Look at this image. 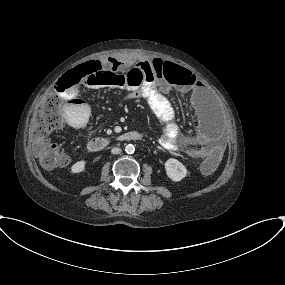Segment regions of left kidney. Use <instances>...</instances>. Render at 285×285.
<instances>
[{"mask_svg":"<svg viewBox=\"0 0 285 285\" xmlns=\"http://www.w3.org/2000/svg\"><path fill=\"white\" fill-rule=\"evenodd\" d=\"M165 170L168 178L174 182L182 180L187 175L185 166L174 158H170L165 162Z\"/></svg>","mask_w":285,"mask_h":285,"instance_id":"obj_1","label":"left kidney"}]
</instances>
